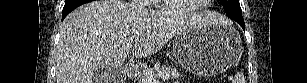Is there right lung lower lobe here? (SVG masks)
<instances>
[{
	"instance_id": "98d812e1",
	"label": "right lung lower lobe",
	"mask_w": 307,
	"mask_h": 83,
	"mask_svg": "<svg viewBox=\"0 0 307 83\" xmlns=\"http://www.w3.org/2000/svg\"><path fill=\"white\" fill-rule=\"evenodd\" d=\"M89 0H66L65 6L62 12V20L76 7L88 3Z\"/></svg>"
}]
</instances>
